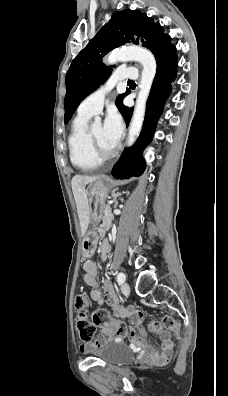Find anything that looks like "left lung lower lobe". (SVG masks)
Returning <instances> with one entry per match:
<instances>
[{
  "instance_id": "0a47b994",
  "label": "left lung lower lobe",
  "mask_w": 228,
  "mask_h": 396,
  "mask_svg": "<svg viewBox=\"0 0 228 396\" xmlns=\"http://www.w3.org/2000/svg\"><path fill=\"white\" fill-rule=\"evenodd\" d=\"M170 41V36L163 34L155 38L148 46V49L156 58L157 72L147 100L146 115L141 134L132 147L124 150L121 159L114 165L112 170V175L117 179L138 177L145 169V160L142 157V152L152 140L157 121L171 91V82L176 76L177 53L175 46ZM120 112L128 125L133 108L123 106Z\"/></svg>"
}]
</instances>
